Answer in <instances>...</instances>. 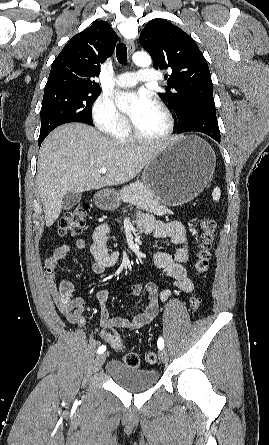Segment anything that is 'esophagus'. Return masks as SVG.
Masks as SVG:
<instances>
[{
	"label": "esophagus",
	"mask_w": 269,
	"mask_h": 445,
	"mask_svg": "<svg viewBox=\"0 0 269 445\" xmlns=\"http://www.w3.org/2000/svg\"><path fill=\"white\" fill-rule=\"evenodd\" d=\"M125 43L127 45L129 53L132 54L134 52V50H135L134 42L132 40H126Z\"/></svg>",
	"instance_id": "1"
}]
</instances>
